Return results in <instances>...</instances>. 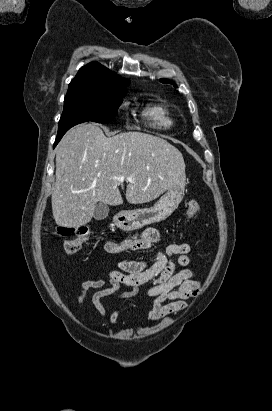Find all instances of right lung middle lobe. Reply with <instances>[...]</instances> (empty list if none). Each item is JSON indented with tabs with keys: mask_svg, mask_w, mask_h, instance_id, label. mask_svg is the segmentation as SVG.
I'll use <instances>...</instances> for the list:
<instances>
[{
	"mask_svg": "<svg viewBox=\"0 0 272 411\" xmlns=\"http://www.w3.org/2000/svg\"><path fill=\"white\" fill-rule=\"evenodd\" d=\"M127 90L111 87L92 91L67 93L59 121L57 136L86 121L108 123L113 120Z\"/></svg>",
	"mask_w": 272,
	"mask_h": 411,
	"instance_id": "right-lung-middle-lobe-1",
	"label": "right lung middle lobe"
}]
</instances>
